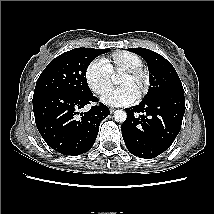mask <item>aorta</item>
I'll return each instance as SVG.
<instances>
[{
    "label": "aorta",
    "mask_w": 214,
    "mask_h": 214,
    "mask_svg": "<svg viewBox=\"0 0 214 214\" xmlns=\"http://www.w3.org/2000/svg\"><path fill=\"white\" fill-rule=\"evenodd\" d=\"M113 78H114V76H113ZM114 119L116 122L123 123L127 119V113L123 110H116L114 112Z\"/></svg>",
    "instance_id": "obj_1"
}]
</instances>
